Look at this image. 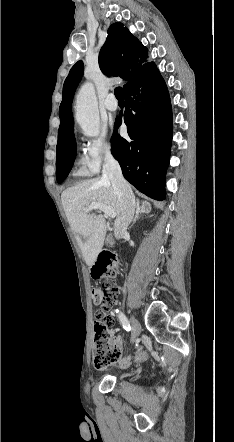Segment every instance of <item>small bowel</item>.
Here are the masks:
<instances>
[{
  "mask_svg": "<svg viewBox=\"0 0 234 442\" xmlns=\"http://www.w3.org/2000/svg\"><path fill=\"white\" fill-rule=\"evenodd\" d=\"M94 325H95L96 331H107L108 328H114V326H115L114 315L113 314H96ZM116 342L120 346L122 343V340L120 338H117Z\"/></svg>",
  "mask_w": 234,
  "mask_h": 442,
  "instance_id": "obj_1",
  "label": "small bowel"
}]
</instances>
